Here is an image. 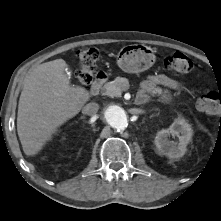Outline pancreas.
Masks as SVG:
<instances>
[{
	"mask_svg": "<svg viewBox=\"0 0 221 221\" xmlns=\"http://www.w3.org/2000/svg\"><path fill=\"white\" fill-rule=\"evenodd\" d=\"M127 83L128 80L126 78L117 77L114 81L108 82L102 87V93L110 97H118L121 95L122 91L128 89V87L125 86ZM152 96H159V101L162 103L168 104L172 101L170 91L167 89L163 90L160 87L152 91Z\"/></svg>",
	"mask_w": 221,
	"mask_h": 221,
	"instance_id": "obj_1",
	"label": "pancreas"
}]
</instances>
